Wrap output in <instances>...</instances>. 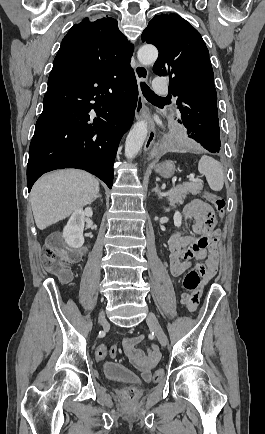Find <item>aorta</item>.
Listing matches in <instances>:
<instances>
[{
  "mask_svg": "<svg viewBox=\"0 0 265 434\" xmlns=\"http://www.w3.org/2000/svg\"><path fill=\"white\" fill-rule=\"evenodd\" d=\"M137 58L142 66L154 64L158 58V50L155 46H142L137 52ZM147 136V122H137L130 130L125 144L126 158H135L142 148Z\"/></svg>",
  "mask_w": 265,
  "mask_h": 434,
  "instance_id": "obj_1",
  "label": "aorta"
}]
</instances>
